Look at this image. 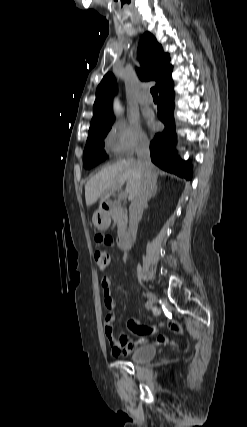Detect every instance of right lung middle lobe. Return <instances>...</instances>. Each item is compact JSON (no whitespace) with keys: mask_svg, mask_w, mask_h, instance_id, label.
Returning <instances> with one entry per match:
<instances>
[{"mask_svg":"<svg viewBox=\"0 0 247 427\" xmlns=\"http://www.w3.org/2000/svg\"><path fill=\"white\" fill-rule=\"evenodd\" d=\"M114 119L89 129L88 139L83 153V166L90 169L107 158L104 152V138L111 128Z\"/></svg>","mask_w":247,"mask_h":427,"instance_id":"right-lung-middle-lobe-1","label":"right lung middle lobe"}]
</instances>
